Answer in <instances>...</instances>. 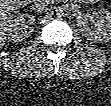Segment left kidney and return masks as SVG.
Wrapping results in <instances>:
<instances>
[{"label": "left kidney", "mask_w": 111, "mask_h": 106, "mask_svg": "<svg viewBox=\"0 0 111 106\" xmlns=\"http://www.w3.org/2000/svg\"><path fill=\"white\" fill-rule=\"evenodd\" d=\"M92 21V26L88 20ZM77 25L83 36L91 42H106L111 40V13L105 9H96L92 15L77 17Z\"/></svg>", "instance_id": "obj_1"}]
</instances>
